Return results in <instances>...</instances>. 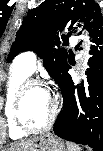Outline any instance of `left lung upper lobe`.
I'll use <instances>...</instances> for the list:
<instances>
[{"label": "left lung upper lobe", "mask_w": 103, "mask_h": 151, "mask_svg": "<svg viewBox=\"0 0 103 151\" xmlns=\"http://www.w3.org/2000/svg\"><path fill=\"white\" fill-rule=\"evenodd\" d=\"M84 22V28L103 30V18L99 5L93 0H46L30 10L16 33L8 55V62L20 52L33 50L42 57L43 64L55 80L69 58L65 49L59 48L60 37L68 28L75 30V22ZM79 27L81 25H78ZM76 32V31H74Z\"/></svg>", "instance_id": "5c2ea615"}]
</instances>
